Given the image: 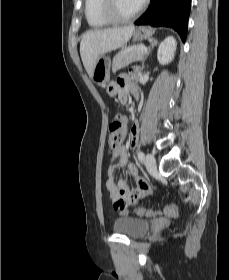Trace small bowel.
Segmentation results:
<instances>
[{
  "label": "small bowel",
  "mask_w": 229,
  "mask_h": 280,
  "mask_svg": "<svg viewBox=\"0 0 229 280\" xmlns=\"http://www.w3.org/2000/svg\"><path fill=\"white\" fill-rule=\"evenodd\" d=\"M106 91L109 96L117 98L120 102L125 103L130 94L139 97V91L135 81V73L129 72L119 75L114 81L106 86ZM139 139V123L134 122L131 129V147H135ZM117 168H124L126 173L134 177L138 189L135 191L130 190L128 184L124 180H117L115 170ZM107 190L109 198L113 202L114 210L121 215H128L127 207L121 208L115 204L118 199L131 198L134 195V202L140 197L148 195L151 191L150 186L145 180L139 176V171L134 165H128L126 150L122 145H119L113 151L112 163L108 168Z\"/></svg>",
  "instance_id": "1"
}]
</instances>
